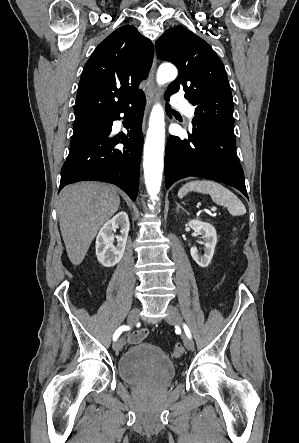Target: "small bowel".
Returning a JSON list of instances; mask_svg holds the SVG:
<instances>
[{
	"instance_id": "c3829d8e",
	"label": "small bowel",
	"mask_w": 299,
	"mask_h": 443,
	"mask_svg": "<svg viewBox=\"0 0 299 443\" xmlns=\"http://www.w3.org/2000/svg\"><path fill=\"white\" fill-rule=\"evenodd\" d=\"M149 331L147 329H141L128 336L127 341L129 344H138L148 337Z\"/></svg>"
}]
</instances>
